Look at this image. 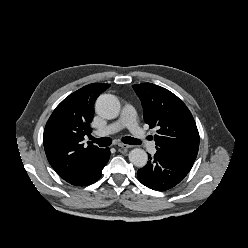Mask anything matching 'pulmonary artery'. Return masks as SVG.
<instances>
[{
    "label": "pulmonary artery",
    "mask_w": 248,
    "mask_h": 248,
    "mask_svg": "<svg viewBox=\"0 0 248 248\" xmlns=\"http://www.w3.org/2000/svg\"><path fill=\"white\" fill-rule=\"evenodd\" d=\"M125 127L130 130L135 139L140 141L146 147L149 153L154 154L156 152L155 143L145 136L143 129L138 125L136 121V111L131 104H126L124 106L122 115L117 121L99 128L95 131V134L97 136H108L119 132Z\"/></svg>",
    "instance_id": "obj_1"
}]
</instances>
